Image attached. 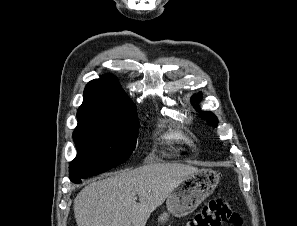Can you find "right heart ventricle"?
Instances as JSON below:
<instances>
[{
  "label": "right heart ventricle",
  "mask_w": 297,
  "mask_h": 226,
  "mask_svg": "<svg viewBox=\"0 0 297 226\" xmlns=\"http://www.w3.org/2000/svg\"><path fill=\"white\" fill-rule=\"evenodd\" d=\"M167 139L174 141V142H181L187 139V137L181 132H173L167 135Z\"/></svg>",
  "instance_id": "e07e8e85"
}]
</instances>
